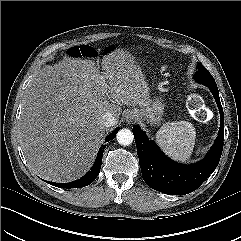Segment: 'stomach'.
I'll return each instance as SVG.
<instances>
[{
  "instance_id": "0dacf381",
  "label": "stomach",
  "mask_w": 241,
  "mask_h": 241,
  "mask_svg": "<svg viewBox=\"0 0 241 241\" xmlns=\"http://www.w3.org/2000/svg\"><path fill=\"white\" fill-rule=\"evenodd\" d=\"M158 90L162 91L161 85H158ZM164 103L160 97H154L134 108L131 113L136 114L140 118L146 119L150 124H159L164 114Z\"/></svg>"
}]
</instances>
